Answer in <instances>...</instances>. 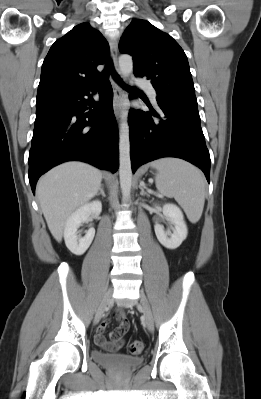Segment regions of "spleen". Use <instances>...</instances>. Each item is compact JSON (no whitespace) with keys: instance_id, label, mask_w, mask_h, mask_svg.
I'll return each instance as SVG.
<instances>
[{"instance_id":"1","label":"spleen","mask_w":261,"mask_h":399,"mask_svg":"<svg viewBox=\"0 0 261 399\" xmlns=\"http://www.w3.org/2000/svg\"><path fill=\"white\" fill-rule=\"evenodd\" d=\"M157 169V189L167 197H174L192 223L199 221L205 202L206 181L202 172L190 163L177 158L153 161Z\"/></svg>"}]
</instances>
